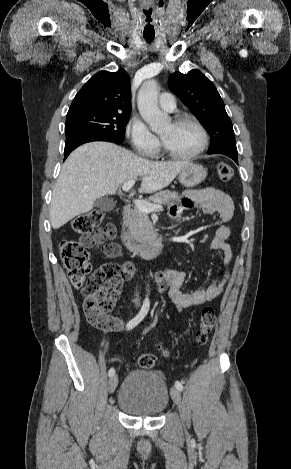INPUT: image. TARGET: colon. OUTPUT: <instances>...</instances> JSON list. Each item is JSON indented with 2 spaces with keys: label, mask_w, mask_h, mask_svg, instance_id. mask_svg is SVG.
Returning a JSON list of instances; mask_svg holds the SVG:
<instances>
[{
  "label": "colon",
  "mask_w": 291,
  "mask_h": 469,
  "mask_svg": "<svg viewBox=\"0 0 291 469\" xmlns=\"http://www.w3.org/2000/svg\"><path fill=\"white\" fill-rule=\"evenodd\" d=\"M217 175L223 182H228L233 177V168L225 162L217 165ZM105 214L100 210H92L83 213L72 221V229L80 234V240L65 238L60 242V256L71 284L81 289L84 295L83 310L86 319L94 327L109 330L113 326L112 317L107 313L113 308L115 298L112 293L117 290L119 284L129 279L133 274V266L130 262L119 264H106L94 272H91L89 252L87 250L93 244L94 231L104 220ZM106 252L110 255H118L120 248L117 244L109 242ZM110 285V287H109ZM216 325V315L212 308L202 310L198 329L194 337L197 348L204 346L210 333ZM163 353L166 351L159 346ZM156 361L152 353H144L139 359L140 367L150 369Z\"/></svg>",
  "instance_id": "1"
}]
</instances>
